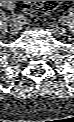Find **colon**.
Here are the masks:
<instances>
[{"label":"colon","instance_id":"obj_1","mask_svg":"<svg viewBox=\"0 0 74 122\" xmlns=\"http://www.w3.org/2000/svg\"><path fill=\"white\" fill-rule=\"evenodd\" d=\"M59 1H23V8L33 15H42L56 8Z\"/></svg>","mask_w":74,"mask_h":122}]
</instances>
